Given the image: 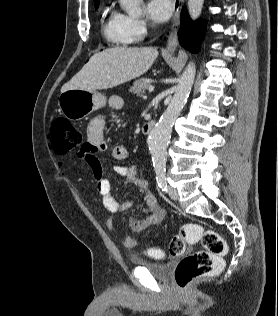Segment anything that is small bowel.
Returning a JSON list of instances; mask_svg holds the SVG:
<instances>
[{"instance_id":"c3829d8e","label":"small bowel","mask_w":278,"mask_h":316,"mask_svg":"<svg viewBox=\"0 0 278 316\" xmlns=\"http://www.w3.org/2000/svg\"><path fill=\"white\" fill-rule=\"evenodd\" d=\"M109 106L119 111L123 107V100L119 96H111ZM106 118L102 115L96 116L90 120L87 126V140L78 152V156L88 165L92 171L97 190L102 197L103 206L112 214L124 212L130 209L135 199L125 202H118L111 196V184L106 178L102 164L97 153L104 152L108 149V144L104 139ZM128 149L123 145L114 146L111 150V157L115 160L122 161L128 158ZM137 164L129 166L116 165L113 171L124 177L129 183L134 184L143 195L144 202L147 206V217L143 220H132L130 228L134 233H139L152 226L161 223L166 216V210L160 206L157 198L149 189V183L137 176ZM108 229L115 230V222L110 217L106 223ZM119 240L124 247L133 248L137 244V239L132 235H121Z\"/></svg>"}]
</instances>
